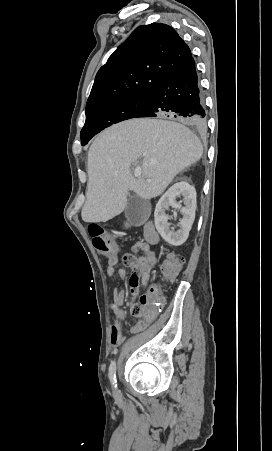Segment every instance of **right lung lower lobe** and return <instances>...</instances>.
Wrapping results in <instances>:
<instances>
[{
	"mask_svg": "<svg viewBox=\"0 0 272 451\" xmlns=\"http://www.w3.org/2000/svg\"><path fill=\"white\" fill-rule=\"evenodd\" d=\"M138 117L176 118L199 131L206 129L204 97L193 57L150 93Z\"/></svg>",
	"mask_w": 272,
	"mask_h": 451,
	"instance_id": "98d812e1",
	"label": "right lung lower lobe"
}]
</instances>
